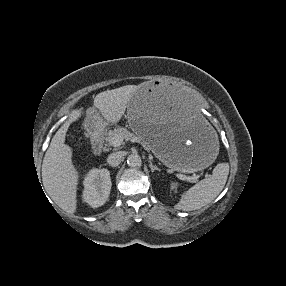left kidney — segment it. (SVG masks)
<instances>
[{"label":"left kidney","mask_w":286,"mask_h":286,"mask_svg":"<svg viewBox=\"0 0 286 286\" xmlns=\"http://www.w3.org/2000/svg\"><path fill=\"white\" fill-rule=\"evenodd\" d=\"M171 188H172V189H175V188H176L175 183H173V184L171 185Z\"/></svg>","instance_id":"5707ae66"}]
</instances>
